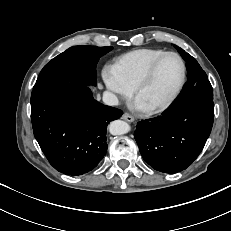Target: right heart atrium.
Segmentation results:
<instances>
[{"instance_id":"right-heart-atrium-1","label":"right heart atrium","mask_w":231,"mask_h":231,"mask_svg":"<svg viewBox=\"0 0 231 231\" xmlns=\"http://www.w3.org/2000/svg\"><path fill=\"white\" fill-rule=\"evenodd\" d=\"M101 75L106 89L115 99L127 97L131 94L132 89L118 77L112 66H104Z\"/></svg>"}]
</instances>
